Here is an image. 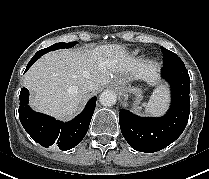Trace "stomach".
<instances>
[{
  "mask_svg": "<svg viewBox=\"0 0 209 179\" xmlns=\"http://www.w3.org/2000/svg\"><path fill=\"white\" fill-rule=\"evenodd\" d=\"M118 83L120 85L121 90L124 92L127 88V85L130 81H132L131 77L129 75H123L118 78Z\"/></svg>",
  "mask_w": 209,
  "mask_h": 179,
  "instance_id": "0dacf381",
  "label": "stomach"
}]
</instances>
